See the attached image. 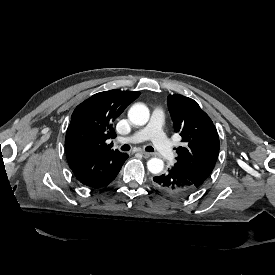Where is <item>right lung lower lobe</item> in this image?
Returning <instances> with one entry per match:
<instances>
[{
    "mask_svg": "<svg viewBox=\"0 0 275 275\" xmlns=\"http://www.w3.org/2000/svg\"><path fill=\"white\" fill-rule=\"evenodd\" d=\"M128 154L118 150L68 160L76 179L82 184L100 188L110 184L117 176Z\"/></svg>",
    "mask_w": 275,
    "mask_h": 275,
    "instance_id": "98d812e1",
    "label": "right lung lower lobe"
}]
</instances>
